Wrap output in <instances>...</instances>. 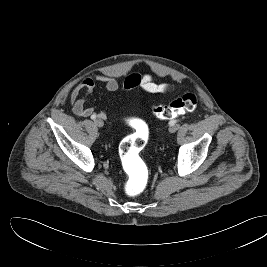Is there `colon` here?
Returning a JSON list of instances; mask_svg holds the SVG:
<instances>
[{
	"instance_id": "obj_1",
	"label": "colon",
	"mask_w": 267,
	"mask_h": 267,
	"mask_svg": "<svg viewBox=\"0 0 267 267\" xmlns=\"http://www.w3.org/2000/svg\"><path fill=\"white\" fill-rule=\"evenodd\" d=\"M197 106V96L187 93L169 105L154 106L152 111L157 118L169 120L183 113L192 112ZM134 127L135 132L125 137L119 147L121 161L128 175L125 189L130 196L142 193L148 183V170L140 156L148 140V130L142 123H135Z\"/></svg>"
}]
</instances>
